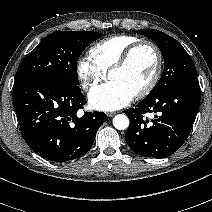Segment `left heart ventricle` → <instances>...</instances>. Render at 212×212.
I'll list each match as a JSON object with an SVG mask.
<instances>
[{"instance_id":"b2bd125f","label":"left heart ventricle","mask_w":212,"mask_h":212,"mask_svg":"<svg viewBox=\"0 0 212 212\" xmlns=\"http://www.w3.org/2000/svg\"><path fill=\"white\" fill-rule=\"evenodd\" d=\"M155 68L156 57L154 52L148 47H143L134 53L124 69L113 72L109 79L135 95L149 82Z\"/></svg>"}]
</instances>
